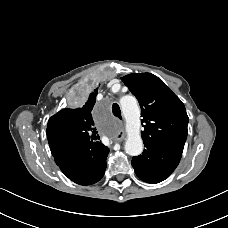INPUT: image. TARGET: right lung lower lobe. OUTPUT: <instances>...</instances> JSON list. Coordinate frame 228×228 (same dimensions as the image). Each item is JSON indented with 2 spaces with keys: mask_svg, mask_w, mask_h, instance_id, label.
Masks as SVG:
<instances>
[{
  "mask_svg": "<svg viewBox=\"0 0 228 228\" xmlns=\"http://www.w3.org/2000/svg\"><path fill=\"white\" fill-rule=\"evenodd\" d=\"M50 149L56 164L73 182L91 185L103 177L109 149L102 143L76 142Z\"/></svg>",
  "mask_w": 228,
  "mask_h": 228,
  "instance_id": "1",
  "label": "right lung lower lobe"
}]
</instances>
